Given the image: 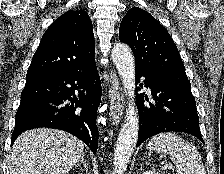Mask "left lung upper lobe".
I'll return each mask as SVG.
<instances>
[{
  "label": "left lung upper lobe",
  "instance_id": "1",
  "mask_svg": "<svg viewBox=\"0 0 224 174\" xmlns=\"http://www.w3.org/2000/svg\"><path fill=\"white\" fill-rule=\"evenodd\" d=\"M119 39L131 47L136 69L188 79L170 34L145 10L134 7L127 12L120 24Z\"/></svg>",
  "mask_w": 224,
  "mask_h": 174
}]
</instances>
